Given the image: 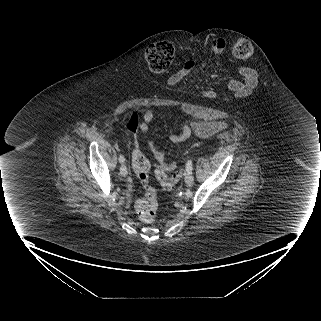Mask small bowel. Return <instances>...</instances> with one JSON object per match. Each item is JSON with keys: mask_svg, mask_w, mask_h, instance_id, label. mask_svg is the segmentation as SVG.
Returning a JSON list of instances; mask_svg holds the SVG:
<instances>
[{"mask_svg": "<svg viewBox=\"0 0 321 321\" xmlns=\"http://www.w3.org/2000/svg\"><path fill=\"white\" fill-rule=\"evenodd\" d=\"M226 43L221 38H216L211 43V49L215 54H222L225 51ZM196 64L194 61H189L183 65L181 69L176 71L169 79L171 84H177L195 69ZM239 75L245 81L239 79H232L230 81V88L237 95H246L252 90V85L256 83V75L252 73V69L248 65H243L239 69ZM154 118V114L151 110H147L143 114V120L139 126V130L142 133H147L149 130L150 123ZM226 124L221 121H209V122H194L189 121L183 124L180 133L173 134L170 136V140L174 144H180L187 140L192 135L198 137H210L218 132L224 130ZM149 148L153 153L154 158L157 162L156 173L167 174L172 171L176 164L174 162H168L163 152H161L153 141L149 142Z\"/></svg>", "mask_w": 321, "mask_h": 321, "instance_id": "c3829d8e", "label": "small bowel"}]
</instances>
